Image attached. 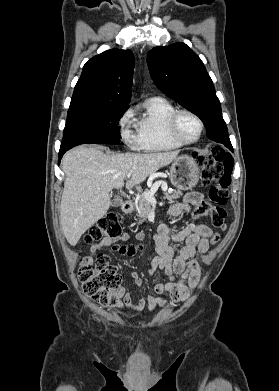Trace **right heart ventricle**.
Listing matches in <instances>:
<instances>
[{
	"label": "right heart ventricle",
	"instance_id": "e07e8e85",
	"mask_svg": "<svg viewBox=\"0 0 279 391\" xmlns=\"http://www.w3.org/2000/svg\"><path fill=\"white\" fill-rule=\"evenodd\" d=\"M176 109L172 102L162 97H153L145 102L144 112L137 120L140 150L161 152L182 147L170 137L168 131V119Z\"/></svg>",
	"mask_w": 279,
	"mask_h": 391
}]
</instances>
